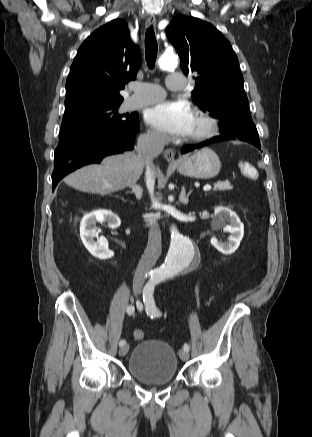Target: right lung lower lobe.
<instances>
[{
  "label": "right lung lower lobe",
  "instance_id": "right-lung-lower-lobe-1",
  "mask_svg": "<svg viewBox=\"0 0 312 437\" xmlns=\"http://www.w3.org/2000/svg\"><path fill=\"white\" fill-rule=\"evenodd\" d=\"M139 130L138 117L125 126L101 130L59 144L55 150L52 190L67 174L90 163H99L109 154L133 148Z\"/></svg>",
  "mask_w": 312,
  "mask_h": 437
}]
</instances>
